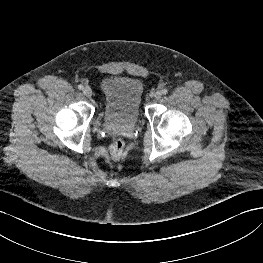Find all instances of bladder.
<instances>
[{
	"instance_id": "bladder-1",
	"label": "bladder",
	"mask_w": 263,
	"mask_h": 263,
	"mask_svg": "<svg viewBox=\"0 0 263 263\" xmlns=\"http://www.w3.org/2000/svg\"><path fill=\"white\" fill-rule=\"evenodd\" d=\"M100 87L104 120L119 126H135L141 115V81L131 76L111 75L102 79Z\"/></svg>"
}]
</instances>
